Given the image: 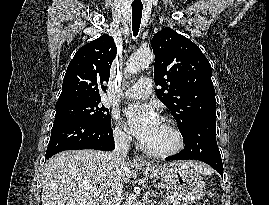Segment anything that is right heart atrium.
I'll return each instance as SVG.
<instances>
[{
	"label": "right heart atrium",
	"instance_id": "d8ad5b80",
	"mask_svg": "<svg viewBox=\"0 0 269 205\" xmlns=\"http://www.w3.org/2000/svg\"><path fill=\"white\" fill-rule=\"evenodd\" d=\"M113 135L119 143L126 144L130 141L129 134L123 129L116 117H113Z\"/></svg>",
	"mask_w": 269,
	"mask_h": 205
}]
</instances>
